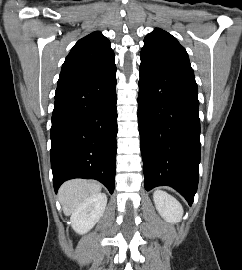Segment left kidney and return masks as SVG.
<instances>
[{
	"instance_id": "5707ae66",
	"label": "left kidney",
	"mask_w": 242,
	"mask_h": 270,
	"mask_svg": "<svg viewBox=\"0 0 242 270\" xmlns=\"http://www.w3.org/2000/svg\"><path fill=\"white\" fill-rule=\"evenodd\" d=\"M154 203L160 215L170 223L181 221L183 208L181 204L164 191L156 190L153 194Z\"/></svg>"
}]
</instances>
